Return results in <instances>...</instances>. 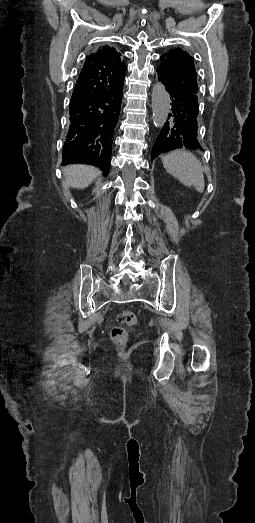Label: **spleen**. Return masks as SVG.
I'll return each instance as SVG.
<instances>
[{
	"mask_svg": "<svg viewBox=\"0 0 255 523\" xmlns=\"http://www.w3.org/2000/svg\"><path fill=\"white\" fill-rule=\"evenodd\" d=\"M163 166L171 176L177 178L184 186H194L197 192H204V176L202 166L196 156L190 152L174 150L162 158Z\"/></svg>",
	"mask_w": 255,
	"mask_h": 523,
	"instance_id": "3e777b00",
	"label": "spleen"
}]
</instances>
